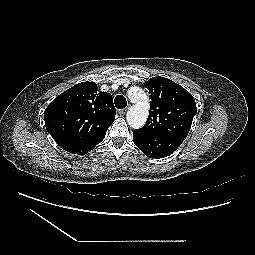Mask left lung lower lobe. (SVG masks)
<instances>
[{"mask_svg":"<svg viewBox=\"0 0 255 255\" xmlns=\"http://www.w3.org/2000/svg\"><path fill=\"white\" fill-rule=\"evenodd\" d=\"M136 146L149 158H164L172 154L184 141L173 136H142L133 132Z\"/></svg>","mask_w":255,"mask_h":255,"instance_id":"obj_1","label":"left lung lower lobe"}]
</instances>
